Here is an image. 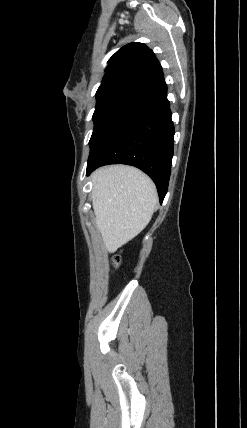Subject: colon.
Masks as SVG:
<instances>
[{
    "label": "colon",
    "instance_id": "1",
    "mask_svg": "<svg viewBox=\"0 0 247 428\" xmlns=\"http://www.w3.org/2000/svg\"><path fill=\"white\" fill-rule=\"evenodd\" d=\"M119 263H120V257H119V256H115V257L113 258V265H114L115 267H117V266L119 265Z\"/></svg>",
    "mask_w": 247,
    "mask_h": 428
}]
</instances>
